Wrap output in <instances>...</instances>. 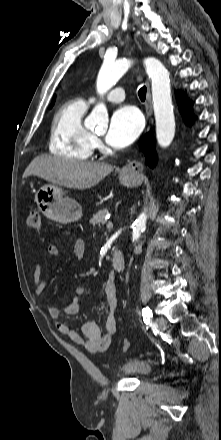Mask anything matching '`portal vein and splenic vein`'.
I'll list each match as a JSON object with an SVG mask.
<instances>
[{
  "mask_svg": "<svg viewBox=\"0 0 221 440\" xmlns=\"http://www.w3.org/2000/svg\"><path fill=\"white\" fill-rule=\"evenodd\" d=\"M111 227H113V223L109 221V222L107 223V228H111Z\"/></svg>",
  "mask_w": 221,
  "mask_h": 440,
  "instance_id": "portal-vein-and-splenic-vein-1",
  "label": "portal vein and splenic vein"
}]
</instances>
